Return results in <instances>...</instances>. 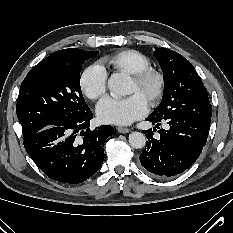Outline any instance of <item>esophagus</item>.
Wrapping results in <instances>:
<instances>
[{"mask_svg": "<svg viewBox=\"0 0 233 233\" xmlns=\"http://www.w3.org/2000/svg\"><path fill=\"white\" fill-rule=\"evenodd\" d=\"M117 131H118L119 133L126 134V133H129V132H130V129H129V128H126V127H117Z\"/></svg>", "mask_w": 233, "mask_h": 233, "instance_id": "1", "label": "esophagus"}]
</instances>
